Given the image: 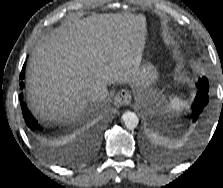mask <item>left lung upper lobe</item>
Instances as JSON below:
<instances>
[{
    "label": "left lung upper lobe",
    "instance_id": "obj_1",
    "mask_svg": "<svg viewBox=\"0 0 223 188\" xmlns=\"http://www.w3.org/2000/svg\"><path fill=\"white\" fill-rule=\"evenodd\" d=\"M197 88L203 89L205 91H208L209 90V83H208V80H207L206 77H203V78L199 79V81L197 83ZM153 158L154 159H157V160H160L161 159V157L160 156H157V155L156 156L153 155Z\"/></svg>",
    "mask_w": 223,
    "mask_h": 188
}]
</instances>
